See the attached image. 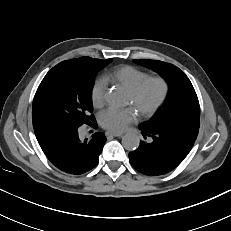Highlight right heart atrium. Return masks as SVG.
Wrapping results in <instances>:
<instances>
[{
  "instance_id": "right-heart-atrium-1",
  "label": "right heart atrium",
  "mask_w": 231,
  "mask_h": 231,
  "mask_svg": "<svg viewBox=\"0 0 231 231\" xmlns=\"http://www.w3.org/2000/svg\"><path fill=\"white\" fill-rule=\"evenodd\" d=\"M105 93H106V82L104 79L96 80L90 92L92 105L96 108H100L105 103Z\"/></svg>"
}]
</instances>
